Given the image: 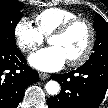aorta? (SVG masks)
Listing matches in <instances>:
<instances>
[{"label": "aorta", "instance_id": "762f6f07", "mask_svg": "<svg viewBox=\"0 0 108 108\" xmlns=\"http://www.w3.org/2000/svg\"><path fill=\"white\" fill-rule=\"evenodd\" d=\"M45 89L48 94L57 95L60 91V85L58 82L51 80L46 83Z\"/></svg>", "mask_w": 108, "mask_h": 108}]
</instances>
